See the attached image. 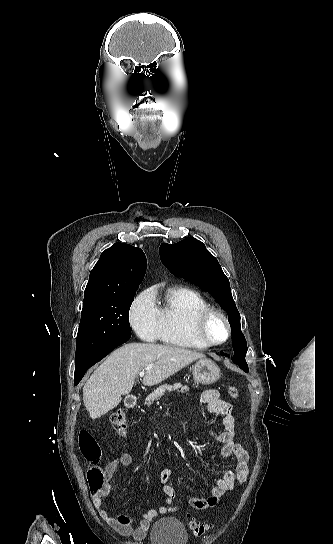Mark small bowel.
Wrapping results in <instances>:
<instances>
[{
	"label": "small bowel",
	"instance_id": "small-bowel-1",
	"mask_svg": "<svg viewBox=\"0 0 333 544\" xmlns=\"http://www.w3.org/2000/svg\"><path fill=\"white\" fill-rule=\"evenodd\" d=\"M200 401L205 404L211 414L222 415V430H211V436L220 443V454L224 458L235 461V469L227 471L224 476L215 482L207 497H189V505L197 510H206L215 507L222 496L235 486L244 483L249 475V455L247 451L235 441V419L232 414V405L219 396L215 389H206L200 396ZM133 463V457L129 453H123L111 460L104 467L106 483L98 492H92V502L100 517L118 534L134 540L145 538L150 523L158 515L173 513L177 510L174 502L177 498L175 488L170 484L173 471L164 468L160 472V480L163 483V492L166 496L164 504L146 511L140 519L126 514L111 516L103 508L105 498L111 490L110 479L120 467H129Z\"/></svg>",
	"mask_w": 333,
	"mask_h": 544
}]
</instances>
